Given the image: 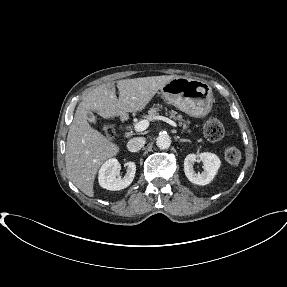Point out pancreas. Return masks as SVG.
<instances>
[{"mask_svg": "<svg viewBox=\"0 0 287 287\" xmlns=\"http://www.w3.org/2000/svg\"><path fill=\"white\" fill-rule=\"evenodd\" d=\"M162 110L161 106H157V107H152L150 108V110L148 111V115L146 116L148 119H152L159 113V111ZM170 117L173 118L174 120H179V125L183 126V129H186L188 126L186 124L182 123V115H177V112L174 110H171L169 112ZM188 132H190V130H188Z\"/></svg>", "mask_w": 287, "mask_h": 287, "instance_id": "1", "label": "pancreas"}]
</instances>
